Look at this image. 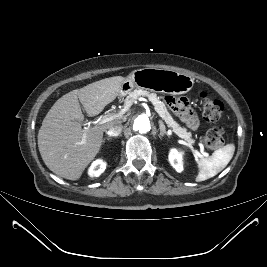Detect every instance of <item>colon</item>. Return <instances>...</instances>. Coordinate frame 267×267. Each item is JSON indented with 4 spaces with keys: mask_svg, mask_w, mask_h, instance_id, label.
I'll return each instance as SVG.
<instances>
[{
    "mask_svg": "<svg viewBox=\"0 0 267 267\" xmlns=\"http://www.w3.org/2000/svg\"><path fill=\"white\" fill-rule=\"evenodd\" d=\"M199 97L202 101V115L204 119L208 122H217L221 118L224 109L222 102L209 98L205 92H201ZM204 141L209 149H218L224 142L222 130L220 128L209 130Z\"/></svg>",
    "mask_w": 267,
    "mask_h": 267,
    "instance_id": "5ec220e1",
    "label": "colon"
}]
</instances>
